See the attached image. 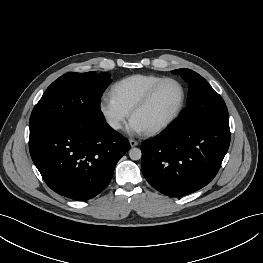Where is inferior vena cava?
Segmentation results:
<instances>
[{
    "label": "inferior vena cava",
    "instance_id": "obj_1",
    "mask_svg": "<svg viewBox=\"0 0 263 263\" xmlns=\"http://www.w3.org/2000/svg\"><path fill=\"white\" fill-rule=\"evenodd\" d=\"M109 125L113 128V129H120L121 128V124L116 121V120H111L109 121Z\"/></svg>",
    "mask_w": 263,
    "mask_h": 263
}]
</instances>
